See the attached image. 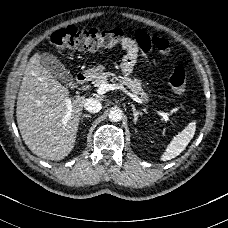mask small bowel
Returning <instances> with one entry per match:
<instances>
[{"label": "small bowel", "mask_w": 228, "mask_h": 228, "mask_svg": "<svg viewBox=\"0 0 228 228\" xmlns=\"http://www.w3.org/2000/svg\"><path fill=\"white\" fill-rule=\"evenodd\" d=\"M135 40L127 37L120 43V46L126 51L121 65L122 71L126 75L131 74L133 71L138 58L139 50L145 54L146 61L149 65L154 64V61L151 59L152 42L148 36V33L145 30H138L135 33Z\"/></svg>", "instance_id": "1"}]
</instances>
